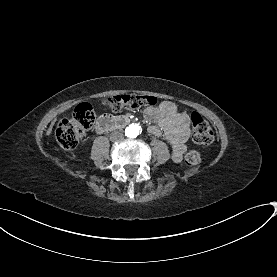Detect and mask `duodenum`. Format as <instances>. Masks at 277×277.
<instances>
[{
	"label": "duodenum",
	"instance_id": "410a0bca",
	"mask_svg": "<svg viewBox=\"0 0 277 277\" xmlns=\"http://www.w3.org/2000/svg\"><path fill=\"white\" fill-rule=\"evenodd\" d=\"M130 118L128 116H111L105 115L100 117L95 123V130L97 133L119 129L129 124Z\"/></svg>",
	"mask_w": 277,
	"mask_h": 277
}]
</instances>
